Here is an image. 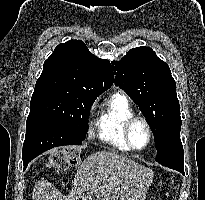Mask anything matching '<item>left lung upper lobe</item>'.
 Instances as JSON below:
<instances>
[{
	"instance_id": "1",
	"label": "left lung upper lobe",
	"mask_w": 205,
	"mask_h": 200,
	"mask_svg": "<svg viewBox=\"0 0 205 200\" xmlns=\"http://www.w3.org/2000/svg\"><path fill=\"white\" fill-rule=\"evenodd\" d=\"M112 64L117 86L139 106L153 132L157 150L165 141L168 125L180 117L176 82L168 64L150 47L133 48Z\"/></svg>"
}]
</instances>
